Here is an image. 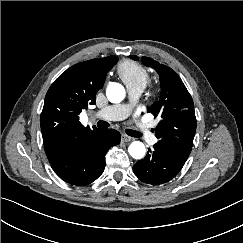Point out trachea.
I'll list each match as a JSON object with an SVG mask.
<instances>
[{
	"instance_id": "trachea-1",
	"label": "trachea",
	"mask_w": 243,
	"mask_h": 243,
	"mask_svg": "<svg viewBox=\"0 0 243 243\" xmlns=\"http://www.w3.org/2000/svg\"><path fill=\"white\" fill-rule=\"evenodd\" d=\"M97 126H98L99 128H106V127H108V123L105 122V121L100 120V121L97 122ZM126 133H127L129 136H132V137H140V136H141V134H140L139 132H137V131H135V130H131V129H127V130H126Z\"/></svg>"
}]
</instances>
